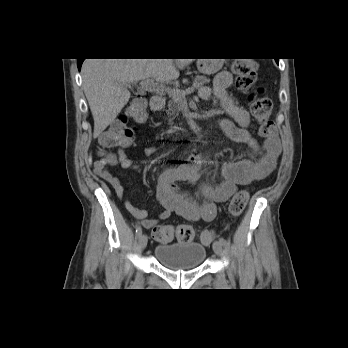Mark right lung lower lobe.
I'll return each mask as SVG.
<instances>
[{
	"label": "right lung lower lobe",
	"mask_w": 348,
	"mask_h": 348,
	"mask_svg": "<svg viewBox=\"0 0 348 348\" xmlns=\"http://www.w3.org/2000/svg\"><path fill=\"white\" fill-rule=\"evenodd\" d=\"M84 61V59H78V63H77V66H78V69L80 70L81 68V65H82V62Z\"/></svg>",
	"instance_id": "obj_1"
}]
</instances>
